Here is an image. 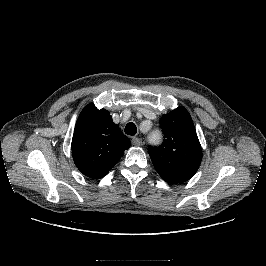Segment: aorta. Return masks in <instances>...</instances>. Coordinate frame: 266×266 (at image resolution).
Here are the masks:
<instances>
[{"mask_svg":"<svg viewBox=\"0 0 266 266\" xmlns=\"http://www.w3.org/2000/svg\"><path fill=\"white\" fill-rule=\"evenodd\" d=\"M150 141H152V142H158V141H160V135L158 134V133H152L151 135H150Z\"/></svg>","mask_w":266,"mask_h":266,"instance_id":"aorta-1","label":"aorta"}]
</instances>
